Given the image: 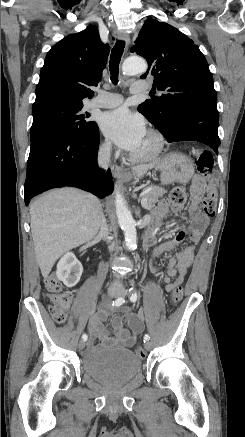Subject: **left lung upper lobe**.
<instances>
[{"label": "left lung upper lobe", "instance_id": "left-lung-upper-lobe-1", "mask_svg": "<svg viewBox=\"0 0 245 437\" xmlns=\"http://www.w3.org/2000/svg\"><path fill=\"white\" fill-rule=\"evenodd\" d=\"M143 56L148 71L141 76L154 77V87L162 92L138 106L164 135L170 134L177 113L200 110L219 119L217 94L208 63L199 47L185 34L163 22L146 21L131 48Z\"/></svg>", "mask_w": 245, "mask_h": 437}]
</instances>
